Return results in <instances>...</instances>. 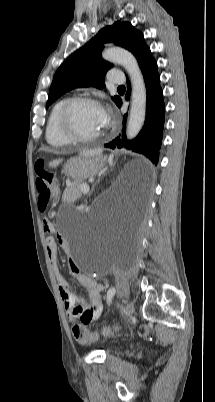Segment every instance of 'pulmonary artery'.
<instances>
[{"instance_id":"obj_1","label":"pulmonary artery","mask_w":215,"mask_h":402,"mask_svg":"<svg viewBox=\"0 0 215 402\" xmlns=\"http://www.w3.org/2000/svg\"><path fill=\"white\" fill-rule=\"evenodd\" d=\"M108 81L112 84H123L125 82V77L123 73L119 71H110L108 74Z\"/></svg>"}]
</instances>
